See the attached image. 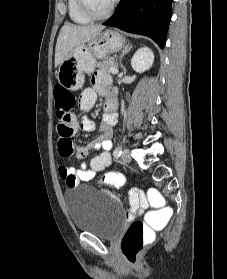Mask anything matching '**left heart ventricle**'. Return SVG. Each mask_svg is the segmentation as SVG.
<instances>
[{
    "instance_id": "1",
    "label": "left heart ventricle",
    "mask_w": 227,
    "mask_h": 279,
    "mask_svg": "<svg viewBox=\"0 0 227 279\" xmlns=\"http://www.w3.org/2000/svg\"><path fill=\"white\" fill-rule=\"evenodd\" d=\"M112 0H88L91 9L96 14H103L111 5Z\"/></svg>"
}]
</instances>
